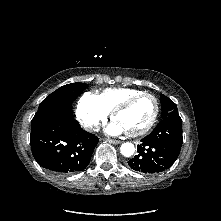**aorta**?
<instances>
[{"instance_id":"obj_1","label":"aorta","mask_w":221,"mask_h":221,"mask_svg":"<svg viewBox=\"0 0 221 221\" xmlns=\"http://www.w3.org/2000/svg\"><path fill=\"white\" fill-rule=\"evenodd\" d=\"M121 154L125 157H130L134 154V145L130 142L123 143L120 147Z\"/></svg>"}]
</instances>
